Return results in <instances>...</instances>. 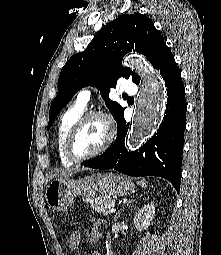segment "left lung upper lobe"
I'll use <instances>...</instances> for the list:
<instances>
[{
    "instance_id": "1",
    "label": "left lung upper lobe",
    "mask_w": 221,
    "mask_h": 255,
    "mask_svg": "<svg viewBox=\"0 0 221 255\" xmlns=\"http://www.w3.org/2000/svg\"><path fill=\"white\" fill-rule=\"evenodd\" d=\"M165 46L152 21L140 13L124 14L106 24L87 48L72 56L62 68L47 129L73 95L89 85L101 90L106 106L118 122L124 115V108L109 99V88L116 87L120 77H131L136 84L140 82V76L122 66L123 56L132 50L137 51L146 56L154 67Z\"/></svg>"
}]
</instances>
